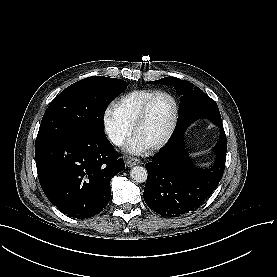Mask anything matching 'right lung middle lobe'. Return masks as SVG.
Returning a JSON list of instances; mask_svg holds the SVG:
<instances>
[{
  "mask_svg": "<svg viewBox=\"0 0 277 277\" xmlns=\"http://www.w3.org/2000/svg\"><path fill=\"white\" fill-rule=\"evenodd\" d=\"M127 85L126 81L103 76H92L73 83L50 103L37 138L104 132L103 115L107 105Z\"/></svg>",
  "mask_w": 277,
  "mask_h": 277,
  "instance_id": "1",
  "label": "right lung middle lobe"
}]
</instances>
